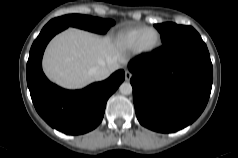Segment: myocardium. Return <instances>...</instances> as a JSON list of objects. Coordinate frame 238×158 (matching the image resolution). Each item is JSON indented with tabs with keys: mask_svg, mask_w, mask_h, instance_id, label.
Wrapping results in <instances>:
<instances>
[{
	"mask_svg": "<svg viewBox=\"0 0 238 158\" xmlns=\"http://www.w3.org/2000/svg\"><path fill=\"white\" fill-rule=\"evenodd\" d=\"M149 31H154L157 34V41L152 46L145 47L143 45V38H144L145 34ZM160 43H161L160 33L152 27H147L138 36L136 44H135V49H136V51H138L140 53H150V52L154 51L155 49H157L159 47Z\"/></svg>",
	"mask_w": 238,
	"mask_h": 158,
	"instance_id": "f54148a6",
	"label": "myocardium"
}]
</instances>
